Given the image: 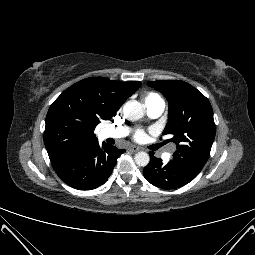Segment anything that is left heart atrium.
<instances>
[{
    "label": "left heart atrium",
    "instance_id": "obj_1",
    "mask_svg": "<svg viewBox=\"0 0 255 255\" xmlns=\"http://www.w3.org/2000/svg\"><path fill=\"white\" fill-rule=\"evenodd\" d=\"M145 138V133L143 131H137L135 134H134V139L136 141H142L144 140Z\"/></svg>",
    "mask_w": 255,
    "mask_h": 255
}]
</instances>
